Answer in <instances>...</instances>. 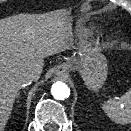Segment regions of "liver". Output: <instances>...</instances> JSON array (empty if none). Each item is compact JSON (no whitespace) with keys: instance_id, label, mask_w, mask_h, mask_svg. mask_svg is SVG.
<instances>
[{"instance_id":"obj_1","label":"liver","mask_w":131,"mask_h":131,"mask_svg":"<svg viewBox=\"0 0 131 131\" xmlns=\"http://www.w3.org/2000/svg\"><path fill=\"white\" fill-rule=\"evenodd\" d=\"M70 28L66 12L0 20V131L11 114L20 78L33 72L39 79L44 58L69 48Z\"/></svg>"}]
</instances>
